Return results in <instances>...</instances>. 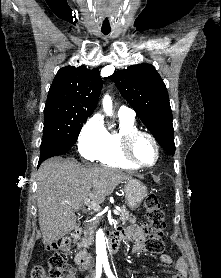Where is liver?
Returning <instances> with one entry per match:
<instances>
[{"instance_id":"obj_1","label":"liver","mask_w":221,"mask_h":278,"mask_svg":"<svg viewBox=\"0 0 221 278\" xmlns=\"http://www.w3.org/2000/svg\"><path fill=\"white\" fill-rule=\"evenodd\" d=\"M132 176L105 166L82 167L74 158L54 157L38 170L36 200L42 242L49 244L76 228V211L86 199L102 203Z\"/></svg>"}]
</instances>
